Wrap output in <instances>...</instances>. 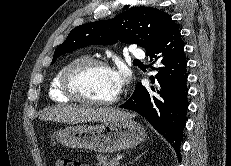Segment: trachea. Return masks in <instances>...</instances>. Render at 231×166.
Returning a JSON list of instances; mask_svg holds the SVG:
<instances>
[{
    "instance_id": "1",
    "label": "trachea",
    "mask_w": 231,
    "mask_h": 166,
    "mask_svg": "<svg viewBox=\"0 0 231 166\" xmlns=\"http://www.w3.org/2000/svg\"><path fill=\"white\" fill-rule=\"evenodd\" d=\"M134 61H139L138 59H135Z\"/></svg>"
}]
</instances>
